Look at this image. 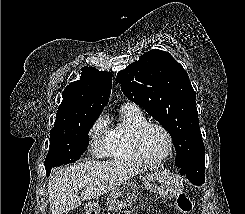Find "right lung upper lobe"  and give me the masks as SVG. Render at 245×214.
I'll use <instances>...</instances> for the list:
<instances>
[{
	"mask_svg": "<svg viewBox=\"0 0 245 214\" xmlns=\"http://www.w3.org/2000/svg\"><path fill=\"white\" fill-rule=\"evenodd\" d=\"M81 70L80 80L70 83L63 92L50 135L69 128L81 115L101 113L109 101L112 73L87 66Z\"/></svg>",
	"mask_w": 245,
	"mask_h": 214,
	"instance_id": "cb5924a9",
	"label": "right lung upper lobe"
}]
</instances>
